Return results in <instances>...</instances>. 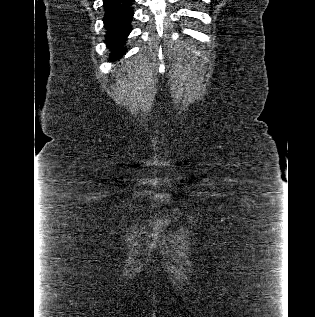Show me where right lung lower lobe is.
<instances>
[{
	"label": "right lung lower lobe",
	"mask_w": 315,
	"mask_h": 317,
	"mask_svg": "<svg viewBox=\"0 0 315 317\" xmlns=\"http://www.w3.org/2000/svg\"><path fill=\"white\" fill-rule=\"evenodd\" d=\"M105 15L104 27L107 30L105 42L111 48V60H116L124 54L123 45L131 32L133 17V0H103Z\"/></svg>",
	"instance_id": "98d812e1"
}]
</instances>
